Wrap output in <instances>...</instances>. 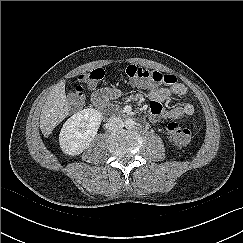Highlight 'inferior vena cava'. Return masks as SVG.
Here are the masks:
<instances>
[{"label": "inferior vena cava", "instance_id": "obj_1", "mask_svg": "<svg viewBox=\"0 0 243 243\" xmlns=\"http://www.w3.org/2000/svg\"><path fill=\"white\" fill-rule=\"evenodd\" d=\"M105 127L109 132H117L124 127V122L120 118L111 117L108 119Z\"/></svg>", "mask_w": 243, "mask_h": 243}]
</instances>
